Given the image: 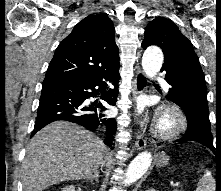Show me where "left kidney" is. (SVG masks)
Instances as JSON below:
<instances>
[{
  "label": "left kidney",
  "instance_id": "5707ae66",
  "mask_svg": "<svg viewBox=\"0 0 221 191\" xmlns=\"http://www.w3.org/2000/svg\"><path fill=\"white\" fill-rule=\"evenodd\" d=\"M147 191H157V190H155V189L151 188V189H148Z\"/></svg>",
  "mask_w": 221,
  "mask_h": 191
}]
</instances>
